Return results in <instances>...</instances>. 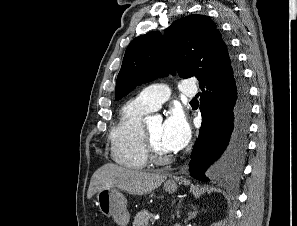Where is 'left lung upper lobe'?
Listing matches in <instances>:
<instances>
[{
  "label": "left lung upper lobe",
  "mask_w": 297,
  "mask_h": 226,
  "mask_svg": "<svg viewBox=\"0 0 297 226\" xmlns=\"http://www.w3.org/2000/svg\"><path fill=\"white\" fill-rule=\"evenodd\" d=\"M233 60L216 25L207 16L190 15L175 21L164 34L150 32L128 45L115 99L175 70L180 77L195 76L200 83L222 77L233 72Z\"/></svg>",
  "instance_id": "5c2ea615"
}]
</instances>
